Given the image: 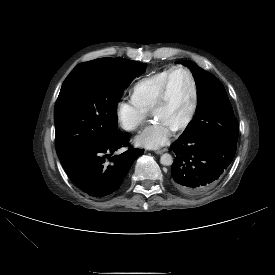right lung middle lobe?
<instances>
[{"mask_svg": "<svg viewBox=\"0 0 275 275\" xmlns=\"http://www.w3.org/2000/svg\"><path fill=\"white\" fill-rule=\"evenodd\" d=\"M146 67L137 61L105 57L81 63L71 71L55 107L58 156L119 132L116 128L118 100Z\"/></svg>", "mask_w": 275, "mask_h": 275, "instance_id": "dd1d6c3e", "label": "right lung middle lobe"}]
</instances>
